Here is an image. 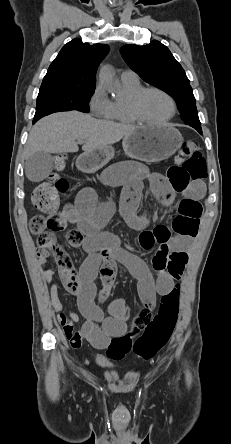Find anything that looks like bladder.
Instances as JSON below:
<instances>
[{"label":"bladder","instance_id":"1","mask_svg":"<svg viewBox=\"0 0 231 444\" xmlns=\"http://www.w3.org/2000/svg\"><path fill=\"white\" fill-rule=\"evenodd\" d=\"M96 364L100 369L106 370L111 367L109 361L103 355L96 356Z\"/></svg>","mask_w":231,"mask_h":444}]
</instances>
